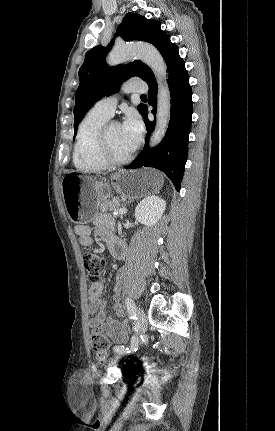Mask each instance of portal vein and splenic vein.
I'll return each mask as SVG.
<instances>
[{"instance_id": "obj_1", "label": "portal vein and splenic vein", "mask_w": 275, "mask_h": 431, "mask_svg": "<svg viewBox=\"0 0 275 431\" xmlns=\"http://www.w3.org/2000/svg\"><path fill=\"white\" fill-rule=\"evenodd\" d=\"M125 213H127V210L123 209V208H120V210L118 211V214H120V215H123Z\"/></svg>"}]
</instances>
